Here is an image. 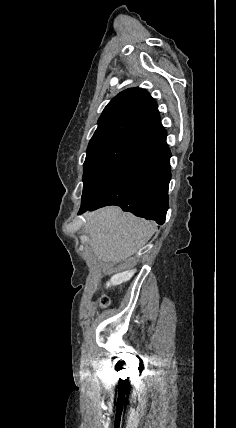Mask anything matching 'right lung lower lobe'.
I'll return each mask as SVG.
<instances>
[{
    "mask_svg": "<svg viewBox=\"0 0 236 428\" xmlns=\"http://www.w3.org/2000/svg\"><path fill=\"white\" fill-rule=\"evenodd\" d=\"M143 143V149L127 171L96 200L82 205L78 214L117 205L136 216L155 220L160 225L164 223L171 179V153L165 129H160Z\"/></svg>",
    "mask_w": 236,
    "mask_h": 428,
    "instance_id": "1",
    "label": "right lung lower lobe"
}]
</instances>
